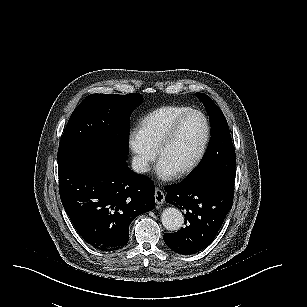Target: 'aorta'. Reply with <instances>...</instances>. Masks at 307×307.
<instances>
[{
    "label": "aorta",
    "mask_w": 307,
    "mask_h": 307,
    "mask_svg": "<svg viewBox=\"0 0 307 307\" xmlns=\"http://www.w3.org/2000/svg\"><path fill=\"white\" fill-rule=\"evenodd\" d=\"M161 222L167 230L177 231L184 223V216L179 209L168 207L161 214Z\"/></svg>",
    "instance_id": "obj_1"
}]
</instances>
